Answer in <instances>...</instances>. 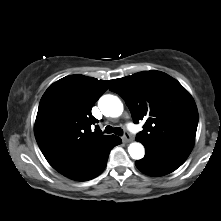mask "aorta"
Wrapping results in <instances>:
<instances>
[{"mask_svg": "<svg viewBox=\"0 0 221 221\" xmlns=\"http://www.w3.org/2000/svg\"><path fill=\"white\" fill-rule=\"evenodd\" d=\"M100 111L109 117H118L123 112V104L117 96L103 95L98 102ZM128 152L132 159L140 160L144 157L145 150L141 143L134 142L128 147Z\"/></svg>", "mask_w": 221, "mask_h": 221, "instance_id": "762f6f07", "label": "aorta"}]
</instances>
